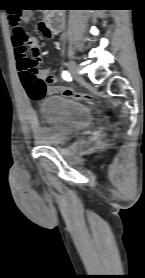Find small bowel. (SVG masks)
Returning a JSON list of instances; mask_svg holds the SVG:
<instances>
[{"label": "small bowel", "instance_id": "1", "mask_svg": "<svg viewBox=\"0 0 145 278\" xmlns=\"http://www.w3.org/2000/svg\"><path fill=\"white\" fill-rule=\"evenodd\" d=\"M22 18L24 21L28 22L31 19V13L28 10L23 11ZM40 32L46 38H52L55 33H53L50 29H48L43 22L39 23L38 26ZM13 43L15 47V56H16V68L18 72L19 81L26 93V95L32 100H40L46 94H62L64 96L70 98H78L77 96L67 95L64 93L63 88L52 86L48 87L49 84L55 82L56 78L51 73V71H41L37 73V63L42 60V56L40 53V43L39 41L31 37V43L27 46L20 45L15 38H13ZM25 50V55L19 56L17 54V50ZM30 51L33 57L38 60L35 61L27 57V52ZM31 92L34 93V96L31 95ZM28 124L32 130H36L38 128V121L35 115H31L28 119Z\"/></svg>", "mask_w": 145, "mask_h": 278}]
</instances>
